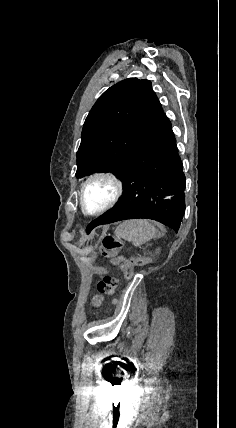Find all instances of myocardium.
<instances>
[{"instance_id":"myocardium-1","label":"myocardium","mask_w":236,"mask_h":428,"mask_svg":"<svg viewBox=\"0 0 236 428\" xmlns=\"http://www.w3.org/2000/svg\"><path fill=\"white\" fill-rule=\"evenodd\" d=\"M97 181L108 182L113 189L110 199L101 207L89 210L85 201V192L89 185ZM125 192V183L119 175L112 171H100L90 175L81 185L79 192L80 206L88 215H99L112 209L121 199Z\"/></svg>"}]
</instances>
